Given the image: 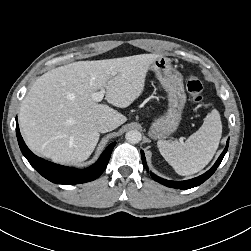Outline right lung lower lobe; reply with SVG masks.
Returning a JSON list of instances; mask_svg holds the SVG:
<instances>
[{
    "label": "right lung lower lobe",
    "mask_w": 251,
    "mask_h": 251,
    "mask_svg": "<svg viewBox=\"0 0 251 251\" xmlns=\"http://www.w3.org/2000/svg\"><path fill=\"white\" fill-rule=\"evenodd\" d=\"M16 135L22 154L26 157L31 166L47 180L53 183L66 185L85 183L98 178L105 170L109 162L111 152L116 145V142L111 143L101 154L100 158L90 167L85 169H76L46 161L33 154L23 141L19 131L17 118Z\"/></svg>",
    "instance_id": "obj_1"
}]
</instances>
